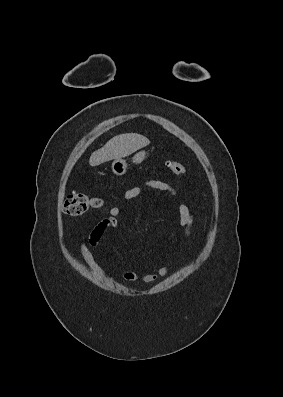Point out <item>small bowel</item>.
<instances>
[{
	"mask_svg": "<svg viewBox=\"0 0 283 397\" xmlns=\"http://www.w3.org/2000/svg\"><path fill=\"white\" fill-rule=\"evenodd\" d=\"M145 186L158 189L162 191L170 192L172 195H176V190L170 184L159 181V180H149L145 182ZM143 193V188L140 186H134L128 189L124 194L125 200H131ZM179 218L178 225L184 229V235L189 237L192 234V228L194 223V215L188 206L185 204H179ZM122 214L121 208L117 206H113L109 210V215L103 219H101L91 230L88 238V245L91 247H96L100 244L104 233L110 229H116L118 227V217ZM171 238L175 240V233H171ZM79 251L80 254L88 265V267L98 274L99 276L108 279L111 282H114L113 277L107 275L104 270L99 266L96 262L92 252L89 250L88 246L84 242L79 243ZM168 270L166 267L161 266L157 267L150 273H146L142 276H139L137 273L129 270H123L121 276L124 280L128 282H136L141 280L144 283H153L157 281L159 278L166 276Z\"/></svg>",
	"mask_w": 283,
	"mask_h": 397,
	"instance_id": "1",
	"label": "small bowel"
}]
</instances>
